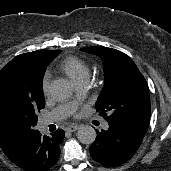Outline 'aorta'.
<instances>
[{"label":"aorta","mask_w":171,"mask_h":171,"mask_svg":"<svg viewBox=\"0 0 171 171\" xmlns=\"http://www.w3.org/2000/svg\"><path fill=\"white\" fill-rule=\"evenodd\" d=\"M51 96L56 100H65L73 93V85L66 79H56L50 84ZM96 131L93 127L85 125L77 131V138L82 144H92L96 139Z\"/></svg>","instance_id":"obj_1"}]
</instances>
